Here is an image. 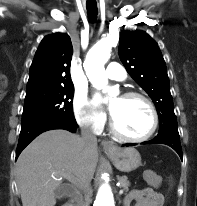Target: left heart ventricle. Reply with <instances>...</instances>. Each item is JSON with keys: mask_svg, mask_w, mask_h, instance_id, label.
I'll return each mask as SVG.
<instances>
[{"mask_svg": "<svg viewBox=\"0 0 197 206\" xmlns=\"http://www.w3.org/2000/svg\"><path fill=\"white\" fill-rule=\"evenodd\" d=\"M110 109L117 127L129 136H143L152 126L150 108L141 99L116 97Z\"/></svg>", "mask_w": 197, "mask_h": 206, "instance_id": "1", "label": "left heart ventricle"}]
</instances>
